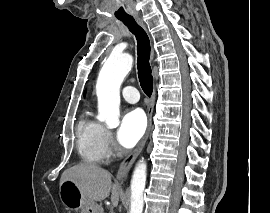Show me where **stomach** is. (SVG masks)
Masks as SVG:
<instances>
[{
    "mask_svg": "<svg viewBox=\"0 0 270 213\" xmlns=\"http://www.w3.org/2000/svg\"><path fill=\"white\" fill-rule=\"evenodd\" d=\"M59 196L61 202L70 211L81 213H103L100 205L88 200L72 180H65L60 184Z\"/></svg>",
    "mask_w": 270,
    "mask_h": 213,
    "instance_id": "obj_1",
    "label": "stomach"
}]
</instances>
